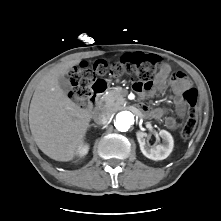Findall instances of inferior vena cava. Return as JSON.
I'll use <instances>...</instances> for the list:
<instances>
[{"mask_svg":"<svg viewBox=\"0 0 221 221\" xmlns=\"http://www.w3.org/2000/svg\"><path fill=\"white\" fill-rule=\"evenodd\" d=\"M111 111L108 109H101L94 113L93 120L98 125H104L111 119Z\"/></svg>","mask_w":221,"mask_h":221,"instance_id":"1","label":"inferior vena cava"}]
</instances>
